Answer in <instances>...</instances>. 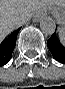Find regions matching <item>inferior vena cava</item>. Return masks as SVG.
I'll return each instance as SVG.
<instances>
[{
    "label": "inferior vena cava",
    "mask_w": 65,
    "mask_h": 89,
    "mask_svg": "<svg viewBox=\"0 0 65 89\" xmlns=\"http://www.w3.org/2000/svg\"><path fill=\"white\" fill-rule=\"evenodd\" d=\"M28 21V18H26V17H24V18H20L19 20H17V22H16V26H17V28L18 27H20L21 25H23L25 22H27Z\"/></svg>",
    "instance_id": "inferior-vena-cava-1"
}]
</instances>
